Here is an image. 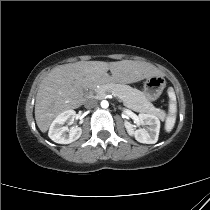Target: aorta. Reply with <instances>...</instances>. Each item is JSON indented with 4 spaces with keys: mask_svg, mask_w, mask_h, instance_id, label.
I'll use <instances>...</instances> for the list:
<instances>
[{
    "mask_svg": "<svg viewBox=\"0 0 210 210\" xmlns=\"http://www.w3.org/2000/svg\"><path fill=\"white\" fill-rule=\"evenodd\" d=\"M108 106H109L108 101L103 100V101L101 102V107H102V108H108Z\"/></svg>",
    "mask_w": 210,
    "mask_h": 210,
    "instance_id": "762f6f07",
    "label": "aorta"
}]
</instances>
